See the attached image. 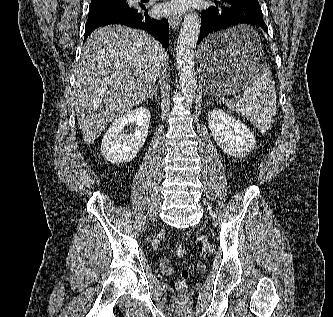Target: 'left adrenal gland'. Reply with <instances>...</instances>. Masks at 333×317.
<instances>
[{
  "label": "left adrenal gland",
  "instance_id": "left-adrenal-gland-1",
  "mask_svg": "<svg viewBox=\"0 0 333 317\" xmlns=\"http://www.w3.org/2000/svg\"><path fill=\"white\" fill-rule=\"evenodd\" d=\"M211 104H212V102L208 99L207 105H211Z\"/></svg>",
  "mask_w": 333,
  "mask_h": 317
}]
</instances>
